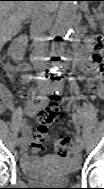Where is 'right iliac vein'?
Segmentation results:
<instances>
[{"label": "right iliac vein", "mask_w": 104, "mask_h": 189, "mask_svg": "<svg viewBox=\"0 0 104 189\" xmlns=\"http://www.w3.org/2000/svg\"><path fill=\"white\" fill-rule=\"evenodd\" d=\"M47 93V91H42L40 94H41V98H44V95ZM16 145L18 147H21L22 146V140L21 139H17L16 140Z\"/></svg>", "instance_id": "1"}]
</instances>
